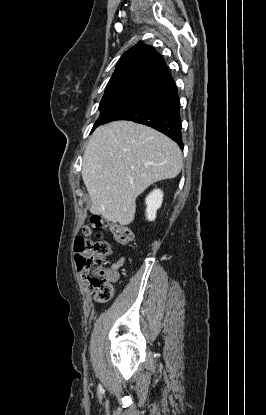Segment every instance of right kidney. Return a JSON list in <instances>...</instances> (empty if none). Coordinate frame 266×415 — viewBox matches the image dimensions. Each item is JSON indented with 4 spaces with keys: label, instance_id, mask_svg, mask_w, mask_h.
<instances>
[{
    "label": "right kidney",
    "instance_id": "obj_1",
    "mask_svg": "<svg viewBox=\"0 0 266 415\" xmlns=\"http://www.w3.org/2000/svg\"><path fill=\"white\" fill-rule=\"evenodd\" d=\"M163 201V192L160 189L153 190L145 199L146 218L153 221L156 218L157 210L161 207Z\"/></svg>",
    "mask_w": 266,
    "mask_h": 415
}]
</instances>
